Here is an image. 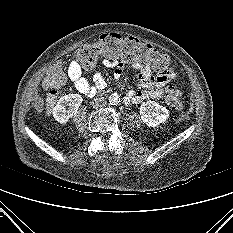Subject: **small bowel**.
Instances as JSON below:
<instances>
[{"label":"small bowel","instance_id":"c3829d8e","mask_svg":"<svg viewBox=\"0 0 233 233\" xmlns=\"http://www.w3.org/2000/svg\"><path fill=\"white\" fill-rule=\"evenodd\" d=\"M102 63L107 68L114 70V78L117 80L120 78L124 65L127 62L103 55ZM127 64L139 71V81L144 89L128 91L124 99L126 104H138L146 99L160 98L163 94L164 86L177 77L173 71H158L151 63L131 62ZM154 69L156 70L155 75L153 74ZM68 77L73 86L87 96H93L98 90L106 87L105 79L99 72L93 75L91 81L83 77L81 66L76 59L68 67Z\"/></svg>","mask_w":233,"mask_h":233}]
</instances>
